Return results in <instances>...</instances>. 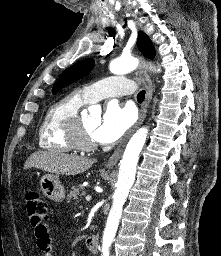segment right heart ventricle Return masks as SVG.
I'll use <instances>...</instances> for the list:
<instances>
[{
	"label": "right heart ventricle",
	"mask_w": 221,
	"mask_h": 256,
	"mask_svg": "<svg viewBox=\"0 0 221 256\" xmlns=\"http://www.w3.org/2000/svg\"><path fill=\"white\" fill-rule=\"evenodd\" d=\"M88 103L80 91H74L52 104L39 128L40 147L58 152L73 151L76 147L71 129L79 110Z\"/></svg>",
	"instance_id": "1"
}]
</instances>
